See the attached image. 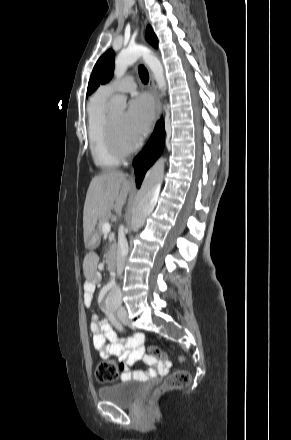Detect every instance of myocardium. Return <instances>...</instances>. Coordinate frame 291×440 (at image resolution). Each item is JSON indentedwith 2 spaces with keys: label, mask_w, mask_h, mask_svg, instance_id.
<instances>
[{
  "label": "myocardium",
  "mask_w": 291,
  "mask_h": 440,
  "mask_svg": "<svg viewBox=\"0 0 291 440\" xmlns=\"http://www.w3.org/2000/svg\"><path fill=\"white\" fill-rule=\"evenodd\" d=\"M105 135L111 152L118 158L127 157L137 147L135 143L123 144L118 140L109 115L106 116L105 120Z\"/></svg>",
  "instance_id": "1"
}]
</instances>
